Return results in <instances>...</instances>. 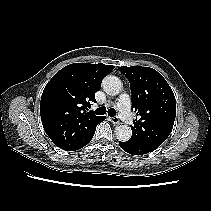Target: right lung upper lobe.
I'll list each match as a JSON object with an SVG mask.
<instances>
[{"label": "right lung upper lobe", "mask_w": 211, "mask_h": 211, "mask_svg": "<svg viewBox=\"0 0 211 211\" xmlns=\"http://www.w3.org/2000/svg\"><path fill=\"white\" fill-rule=\"evenodd\" d=\"M114 66L74 63L47 83L41 97L40 115L45 132L63 150L75 149L103 116L87 112L102 79Z\"/></svg>", "instance_id": "obj_1"}]
</instances>
